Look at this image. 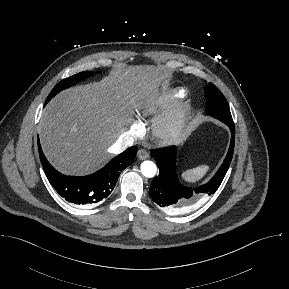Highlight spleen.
Returning a JSON list of instances; mask_svg holds the SVG:
<instances>
[{"mask_svg": "<svg viewBox=\"0 0 289 289\" xmlns=\"http://www.w3.org/2000/svg\"><path fill=\"white\" fill-rule=\"evenodd\" d=\"M209 170V166L201 165L199 167L189 169L182 173L181 177L184 181L195 183L199 181Z\"/></svg>", "mask_w": 289, "mask_h": 289, "instance_id": "obj_1", "label": "spleen"}]
</instances>
